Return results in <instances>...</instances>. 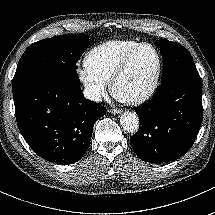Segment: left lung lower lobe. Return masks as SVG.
<instances>
[{
    "mask_svg": "<svg viewBox=\"0 0 215 215\" xmlns=\"http://www.w3.org/2000/svg\"><path fill=\"white\" fill-rule=\"evenodd\" d=\"M135 111L140 125L130 144L141 160L163 163L183 156L193 145L203 116L196 68L163 81L153 98Z\"/></svg>",
    "mask_w": 215,
    "mask_h": 215,
    "instance_id": "1",
    "label": "left lung lower lobe"
}]
</instances>
